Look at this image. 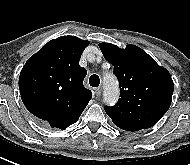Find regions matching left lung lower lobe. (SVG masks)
<instances>
[{
	"instance_id": "1",
	"label": "left lung lower lobe",
	"mask_w": 190,
	"mask_h": 165,
	"mask_svg": "<svg viewBox=\"0 0 190 165\" xmlns=\"http://www.w3.org/2000/svg\"><path fill=\"white\" fill-rule=\"evenodd\" d=\"M121 129H123V130H127V131H131V130H128L127 128H121Z\"/></svg>"
}]
</instances>
